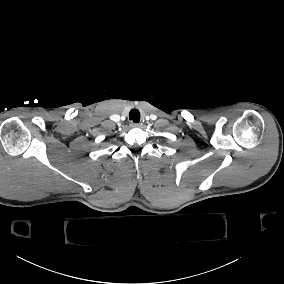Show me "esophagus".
<instances>
[{
  "mask_svg": "<svg viewBox=\"0 0 284 284\" xmlns=\"http://www.w3.org/2000/svg\"><path fill=\"white\" fill-rule=\"evenodd\" d=\"M140 126L141 125L139 123H135V122L130 124V127H132V128H137V127H140Z\"/></svg>",
  "mask_w": 284,
  "mask_h": 284,
  "instance_id": "obj_1",
  "label": "esophagus"
}]
</instances>
